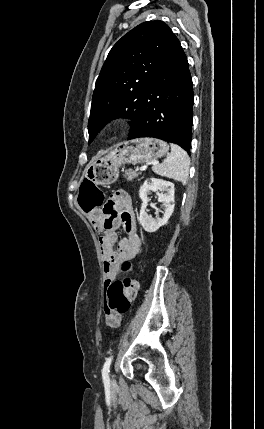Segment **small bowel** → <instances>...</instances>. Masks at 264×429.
Wrapping results in <instances>:
<instances>
[{"mask_svg": "<svg viewBox=\"0 0 264 429\" xmlns=\"http://www.w3.org/2000/svg\"><path fill=\"white\" fill-rule=\"evenodd\" d=\"M87 215L93 226L103 232L99 245L103 258V278L107 285L115 277L119 265L133 259L141 248L131 197L125 190H117L111 195L106 208L96 209ZM120 226L125 237L118 242L116 250V231ZM104 312L109 327L116 328L120 325V314L110 313L105 307Z\"/></svg>", "mask_w": 264, "mask_h": 429, "instance_id": "c3829d8e", "label": "small bowel"}]
</instances>
